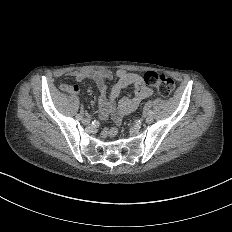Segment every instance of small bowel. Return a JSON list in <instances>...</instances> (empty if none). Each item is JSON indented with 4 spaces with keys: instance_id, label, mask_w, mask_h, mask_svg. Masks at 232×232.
<instances>
[{
    "instance_id": "c3829d8e",
    "label": "small bowel",
    "mask_w": 232,
    "mask_h": 232,
    "mask_svg": "<svg viewBox=\"0 0 232 232\" xmlns=\"http://www.w3.org/2000/svg\"><path fill=\"white\" fill-rule=\"evenodd\" d=\"M64 75L72 77L77 83L86 79L95 81L100 90V116L104 119H107L111 113L115 112V120L119 121L122 115L134 111L142 99L156 95L153 89L146 86L145 80L140 74L125 69L117 70L119 81L113 85L109 97H107V81L112 78L110 69L67 70ZM128 86H133L136 89L135 95L132 97L125 96L117 101L120 91ZM61 88L69 93H77L79 90L77 84L71 83H64ZM116 133L117 129L112 127L103 129L101 135L109 137L116 135Z\"/></svg>"
}]
</instances>
